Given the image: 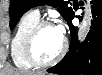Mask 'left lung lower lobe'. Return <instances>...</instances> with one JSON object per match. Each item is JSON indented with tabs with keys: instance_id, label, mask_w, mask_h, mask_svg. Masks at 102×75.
Wrapping results in <instances>:
<instances>
[{
	"instance_id": "left-lung-lower-lobe-1",
	"label": "left lung lower lobe",
	"mask_w": 102,
	"mask_h": 75,
	"mask_svg": "<svg viewBox=\"0 0 102 75\" xmlns=\"http://www.w3.org/2000/svg\"><path fill=\"white\" fill-rule=\"evenodd\" d=\"M91 30L86 40L78 43L77 28L73 26L74 12L67 20L71 31L70 49L48 73L60 75H102V0L92 1Z\"/></svg>"
}]
</instances>
